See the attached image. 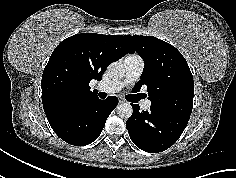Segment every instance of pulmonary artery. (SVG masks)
Instances as JSON below:
<instances>
[{
	"label": "pulmonary artery",
	"instance_id": "obj_1",
	"mask_svg": "<svg viewBox=\"0 0 236 178\" xmlns=\"http://www.w3.org/2000/svg\"><path fill=\"white\" fill-rule=\"evenodd\" d=\"M124 68L125 74L121 80L101 83L97 86V89L109 94L120 91L125 85L136 81L141 76L144 68V62L139 56H128L124 60ZM140 105L143 109L147 110L151 106V101L148 99L142 100Z\"/></svg>",
	"mask_w": 236,
	"mask_h": 178
}]
</instances>
